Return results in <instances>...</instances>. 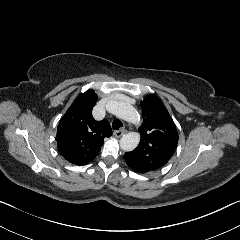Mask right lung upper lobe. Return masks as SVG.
<instances>
[{
    "instance_id": "cb5924a9",
    "label": "right lung upper lobe",
    "mask_w": 240,
    "mask_h": 240,
    "mask_svg": "<svg viewBox=\"0 0 240 240\" xmlns=\"http://www.w3.org/2000/svg\"><path fill=\"white\" fill-rule=\"evenodd\" d=\"M97 101L93 90L80 94L68 108L57 128L58 150L70 163L84 165L99 153L104 138L112 134L107 120L95 121L92 109Z\"/></svg>"
}]
</instances>
